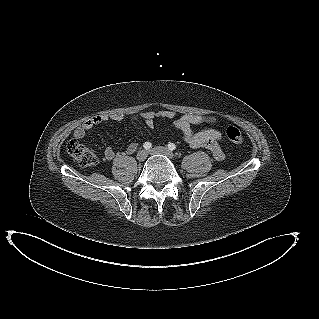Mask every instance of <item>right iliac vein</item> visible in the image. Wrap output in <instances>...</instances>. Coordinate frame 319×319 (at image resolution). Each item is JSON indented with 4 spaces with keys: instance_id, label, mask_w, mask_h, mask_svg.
<instances>
[{
    "instance_id": "1",
    "label": "right iliac vein",
    "mask_w": 319,
    "mask_h": 319,
    "mask_svg": "<svg viewBox=\"0 0 319 319\" xmlns=\"http://www.w3.org/2000/svg\"><path fill=\"white\" fill-rule=\"evenodd\" d=\"M147 155H148V152L146 150H140L138 153H137V160L138 161H144L146 158H147Z\"/></svg>"
}]
</instances>
